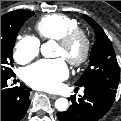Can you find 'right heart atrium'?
<instances>
[{"mask_svg":"<svg viewBox=\"0 0 121 121\" xmlns=\"http://www.w3.org/2000/svg\"><path fill=\"white\" fill-rule=\"evenodd\" d=\"M40 52V42L34 36L20 37L14 47V58L19 63H28L38 56Z\"/></svg>","mask_w":121,"mask_h":121,"instance_id":"obj_1","label":"right heart atrium"}]
</instances>
